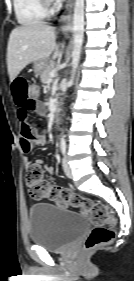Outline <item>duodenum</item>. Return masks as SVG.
Returning a JSON list of instances; mask_svg holds the SVG:
<instances>
[{
	"instance_id": "duodenum-1",
	"label": "duodenum",
	"mask_w": 134,
	"mask_h": 281,
	"mask_svg": "<svg viewBox=\"0 0 134 281\" xmlns=\"http://www.w3.org/2000/svg\"><path fill=\"white\" fill-rule=\"evenodd\" d=\"M59 110H60V108H59V103L56 102V103L53 105V110H52L53 119H54L55 121H57V119H58Z\"/></svg>"
}]
</instances>
